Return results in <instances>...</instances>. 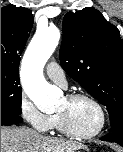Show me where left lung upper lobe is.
<instances>
[{
  "label": "left lung upper lobe",
  "mask_w": 123,
  "mask_h": 152,
  "mask_svg": "<svg viewBox=\"0 0 123 152\" xmlns=\"http://www.w3.org/2000/svg\"><path fill=\"white\" fill-rule=\"evenodd\" d=\"M60 61L66 73L106 106L114 131L123 129V40L94 8L63 19Z\"/></svg>",
  "instance_id": "obj_1"
}]
</instances>
